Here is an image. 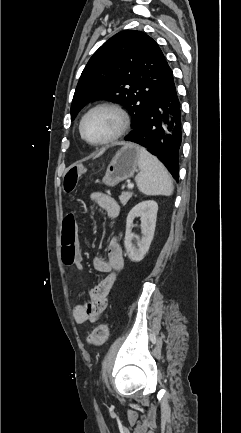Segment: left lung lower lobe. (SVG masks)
Wrapping results in <instances>:
<instances>
[{"label":"left lung lower lobe","mask_w":241,"mask_h":433,"mask_svg":"<svg viewBox=\"0 0 241 433\" xmlns=\"http://www.w3.org/2000/svg\"><path fill=\"white\" fill-rule=\"evenodd\" d=\"M148 149L178 180L182 143L181 106L170 69L162 89L144 111L139 123L126 138Z\"/></svg>","instance_id":"obj_1"}]
</instances>
